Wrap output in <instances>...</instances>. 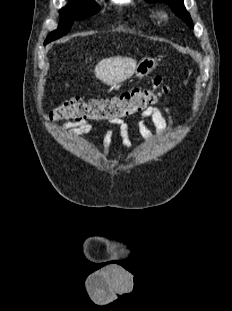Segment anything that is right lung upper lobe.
Returning <instances> with one entry per match:
<instances>
[{
	"mask_svg": "<svg viewBox=\"0 0 232 311\" xmlns=\"http://www.w3.org/2000/svg\"><path fill=\"white\" fill-rule=\"evenodd\" d=\"M70 1H94V0H70Z\"/></svg>",
	"mask_w": 232,
	"mask_h": 311,
	"instance_id": "obj_1",
	"label": "right lung upper lobe"
}]
</instances>
